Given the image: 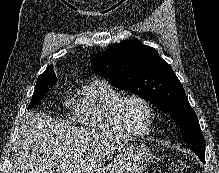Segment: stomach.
I'll return each mask as SVG.
<instances>
[{
	"label": "stomach",
	"mask_w": 219,
	"mask_h": 173,
	"mask_svg": "<svg viewBox=\"0 0 219 173\" xmlns=\"http://www.w3.org/2000/svg\"><path fill=\"white\" fill-rule=\"evenodd\" d=\"M152 160L153 154L145 144L131 142L118 149L97 173H140Z\"/></svg>",
	"instance_id": "obj_1"
}]
</instances>
